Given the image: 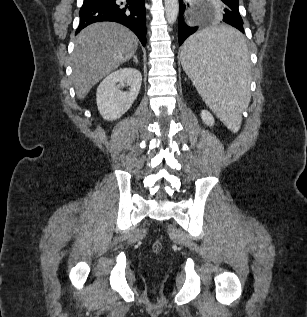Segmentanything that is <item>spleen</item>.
Segmentation results:
<instances>
[{
  "label": "spleen",
  "instance_id": "3e777b00",
  "mask_svg": "<svg viewBox=\"0 0 307 317\" xmlns=\"http://www.w3.org/2000/svg\"><path fill=\"white\" fill-rule=\"evenodd\" d=\"M249 42L232 26H205L187 39L181 63L199 95L232 132L250 102Z\"/></svg>",
  "mask_w": 307,
  "mask_h": 317
}]
</instances>
